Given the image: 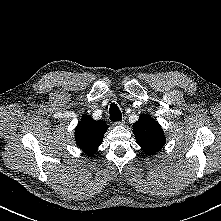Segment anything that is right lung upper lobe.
<instances>
[{
    "mask_svg": "<svg viewBox=\"0 0 221 221\" xmlns=\"http://www.w3.org/2000/svg\"><path fill=\"white\" fill-rule=\"evenodd\" d=\"M108 125L102 121H95L91 116L82 117L75 129L76 144L89 157L97 152Z\"/></svg>",
    "mask_w": 221,
    "mask_h": 221,
    "instance_id": "obj_1",
    "label": "right lung upper lobe"
}]
</instances>
